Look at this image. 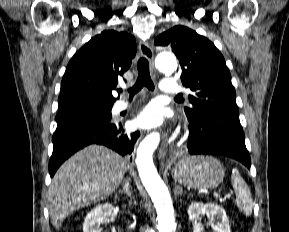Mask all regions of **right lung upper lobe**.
Wrapping results in <instances>:
<instances>
[{"instance_id": "obj_1", "label": "right lung upper lobe", "mask_w": 289, "mask_h": 232, "mask_svg": "<svg viewBox=\"0 0 289 232\" xmlns=\"http://www.w3.org/2000/svg\"><path fill=\"white\" fill-rule=\"evenodd\" d=\"M136 53L134 37L103 31L85 44L69 62L61 82L59 109L82 106L112 107L118 78Z\"/></svg>"}]
</instances>
